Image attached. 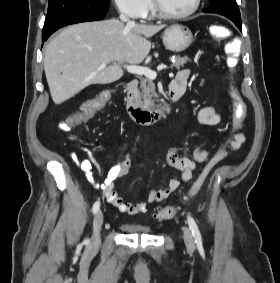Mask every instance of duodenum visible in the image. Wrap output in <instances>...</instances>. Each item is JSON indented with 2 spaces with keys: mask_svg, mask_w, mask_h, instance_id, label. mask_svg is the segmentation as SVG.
I'll return each mask as SVG.
<instances>
[{
  "mask_svg": "<svg viewBox=\"0 0 280 283\" xmlns=\"http://www.w3.org/2000/svg\"><path fill=\"white\" fill-rule=\"evenodd\" d=\"M139 82L130 80L126 86V106L131 118L138 124L151 125L163 120L170 110V104L176 102L182 95V90L176 81H173L167 92L168 105L151 110L141 106L138 97Z\"/></svg>",
  "mask_w": 280,
  "mask_h": 283,
  "instance_id": "1",
  "label": "duodenum"
}]
</instances>
